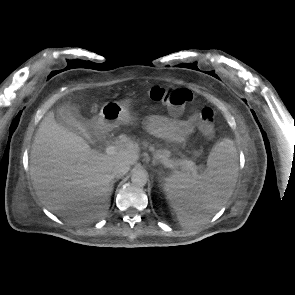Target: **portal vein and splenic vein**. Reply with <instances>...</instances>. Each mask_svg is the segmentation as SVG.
Segmentation results:
<instances>
[{"label": "portal vein and splenic vein", "instance_id": "obj_1", "mask_svg": "<svg viewBox=\"0 0 295 295\" xmlns=\"http://www.w3.org/2000/svg\"><path fill=\"white\" fill-rule=\"evenodd\" d=\"M106 154L107 155H115L116 154V147L113 146V145H109L107 148H106ZM163 163L164 165H166L167 167H173L175 165H180V166H183L184 168L192 171V173L194 175L197 174V168L194 164V162L190 161V160H184V161H178V162H173L171 160H168V159H164L163 160Z\"/></svg>", "mask_w": 295, "mask_h": 295}]
</instances>
